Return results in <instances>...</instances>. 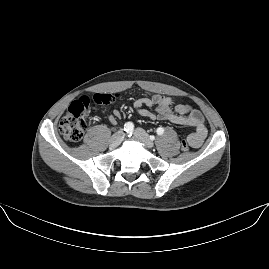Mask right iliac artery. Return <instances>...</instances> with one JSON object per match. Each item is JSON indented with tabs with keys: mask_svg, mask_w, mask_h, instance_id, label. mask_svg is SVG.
I'll use <instances>...</instances> for the list:
<instances>
[{
	"mask_svg": "<svg viewBox=\"0 0 269 269\" xmlns=\"http://www.w3.org/2000/svg\"><path fill=\"white\" fill-rule=\"evenodd\" d=\"M134 125L132 122L125 123L124 125V131L127 133H131L133 131Z\"/></svg>",
	"mask_w": 269,
	"mask_h": 269,
	"instance_id": "1",
	"label": "right iliac artery"
}]
</instances>
